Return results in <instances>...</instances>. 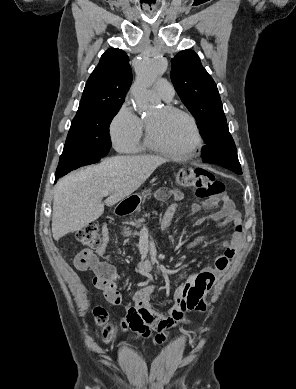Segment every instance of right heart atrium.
<instances>
[{"mask_svg": "<svg viewBox=\"0 0 296 389\" xmlns=\"http://www.w3.org/2000/svg\"><path fill=\"white\" fill-rule=\"evenodd\" d=\"M144 132L142 119L128 103L120 106L109 125V134L116 150L122 153H135L141 149Z\"/></svg>", "mask_w": 296, "mask_h": 389, "instance_id": "1", "label": "right heart atrium"}]
</instances>
